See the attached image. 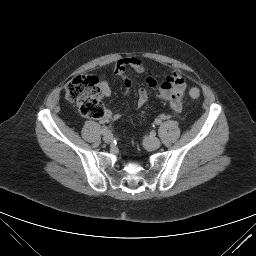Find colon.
I'll use <instances>...</instances> for the list:
<instances>
[{"label":"colon","mask_w":256,"mask_h":256,"mask_svg":"<svg viewBox=\"0 0 256 256\" xmlns=\"http://www.w3.org/2000/svg\"><path fill=\"white\" fill-rule=\"evenodd\" d=\"M101 87L95 76L80 75L70 79L65 85L67 101L76 104L80 113L88 118L101 119L106 110L99 99ZM191 99H198L200 91L196 87L189 90Z\"/></svg>","instance_id":"5ec220e1"}]
</instances>
